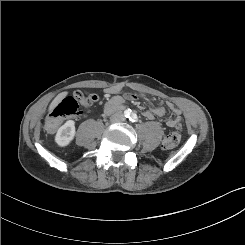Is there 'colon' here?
<instances>
[{
  "instance_id": "obj_1",
  "label": "colon",
  "mask_w": 245,
  "mask_h": 245,
  "mask_svg": "<svg viewBox=\"0 0 245 245\" xmlns=\"http://www.w3.org/2000/svg\"><path fill=\"white\" fill-rule=\"evenodd\" d=\"M98 100L95 94L87 91H76L72 96L62 100L55 109L48 115L44 123V129L47 133H54L63 119L81 114V107L90 108ZM180 142V133L176 129L166 135L162 141V148L171 150Z\"/></svg>"
}]
</instances>
